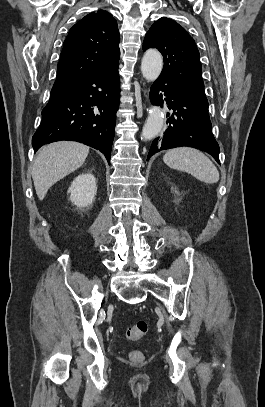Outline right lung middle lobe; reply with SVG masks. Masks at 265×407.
<instances>
[{
  "mask_svg": "<svg viewBox=\"0 0 265 407\" xmlns=\"http://www.w3.org/2000/svg\"><path fill=\"white\" fill-rule=\"evenodd\" d=\"M56 89H59V88L53 87L51 91H54V90H56Z\"/></svg>",
  "mask_w": 265,
  "mask_h": 407,
  "instance_id": "dd1d6c3e",
  "label": "right lung middle lobe"
}]
</instances>
